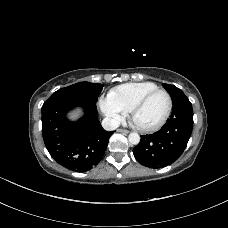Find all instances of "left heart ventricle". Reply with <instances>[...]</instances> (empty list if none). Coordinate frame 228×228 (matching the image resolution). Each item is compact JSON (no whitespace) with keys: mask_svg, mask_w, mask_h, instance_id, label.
Wrapping results in <instances>:
<instances>
[{"mask_svg":"<svg viewBox=\"0 0 228 228\" xmlns=\"http://www.w3.org/2000/svg\"><path fill=\"white\" fill-rule=\"evenodd\" d=\"M168 105L167 96L164 93L153 95L134 114L137 125L147 127L156 124L164 115Z\"/></svg>","mask_w":228,"mask_h":228,"instance_id":"b2bd125f","label":"left heart ventricle"}]
</instances>
